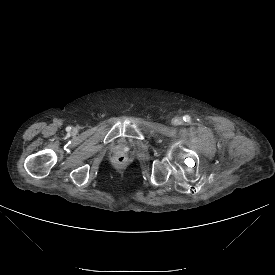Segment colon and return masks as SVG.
I'll return each mask as SVG.
<instances>
[{
  "label": "colon",
  "mask_w": 275,
  "mask_h": 275,
  "mask_svg": "<svg viewBox=\"0 0 275 275\" xmlns=\"http://www.w3.org/2000/svg\"><path fill=\"white\" fill-rule=\"evenodd\" d=\"M125 161V157L124 156H122V155H119V156H117L116 157V162L117 163H123Z\"/></svg>",
  "instance_id": "5ec220e1"
}]
</instances>
